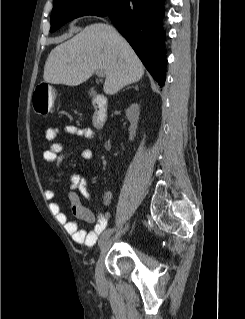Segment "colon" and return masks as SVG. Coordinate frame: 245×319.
<instances>
[{
	"label": "colon",
	"mask_w": 245,
	"mask_h": 319,
	"mask_svg": "<svg viewBox=\"0 0 245 319\" xmlns=\"http://www.w3.org/2000/svg\"><path fill=\"white\" fill-rule=\"evenodd\" d=\"M57 93L53 86L41 83L36 86L33 93V107L38 115H47L53 107Z\"/></svg>",
	"instance_id": "colon-1"
}]
</instances>
